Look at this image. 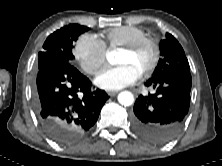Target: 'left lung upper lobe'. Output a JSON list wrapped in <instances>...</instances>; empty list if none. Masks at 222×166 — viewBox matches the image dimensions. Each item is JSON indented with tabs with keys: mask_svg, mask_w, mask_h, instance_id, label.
Returning a JSON list of instances; mask_svg holds the SVG:
<instances>
[{
	"mask_svg": "<svg viewBox=\"0 0 222 166\" xmlns=\"http://www.w3.org/2000/svg\"><path fill=\"white\" fill-rule=\"evenodd\" d=\"M160 54L161 58L152 78H159L176 72L190 71L182 46L169 33H166V38L160 42Z\"/></svg>",
	"mask_w": 222,
	"mask_h": 166,
	"instance_id": "obj_1",
	"label": "left lung upper lobe"
}]
</instances>
